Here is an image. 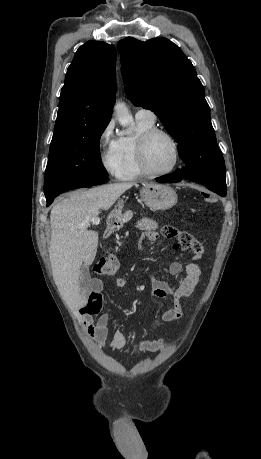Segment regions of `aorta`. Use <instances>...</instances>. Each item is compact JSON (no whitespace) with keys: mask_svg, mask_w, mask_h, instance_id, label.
<instances>
[{"mask_svg":"<svg viewBox=\"0 0 261 459\" xmlns=\"http://www.w3.org/2000/svg\"><path fill=\"white\" fill-rule=\"evenodd\" d=\"M114 111H115V115H116L118 122L122 126L127 127L124 134L126 135L132 134L133 128L130 127V124L132 122V116L129 113V110L126 107V105L124 103H118L115 105Z\"/></svg>","mask_w":261,"mask_h":459,"instance_id":"762f6f07","label":"aorta"}]
</instances>
